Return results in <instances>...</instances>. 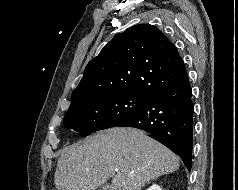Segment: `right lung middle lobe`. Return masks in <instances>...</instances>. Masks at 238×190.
<instances>
[{
	"label": "right lung middle lobe",
	"mask_w": 238,
	"mask_h": 190,
	"mask_svg": "<svg viewBox=\"0 0 238 190\" xmlns=\"http://www.w3.org/2000/svg\"><path fill=\"white\" fill-rule=\"evenodd\" d=\"M150 100L151 98L130 93L86 98L69 108L64 117V125L86 136L114 126L143 109Z\"/></svg>",
	"instance_id": "right-lung-middle-lobe-1"
}]
</instances>
